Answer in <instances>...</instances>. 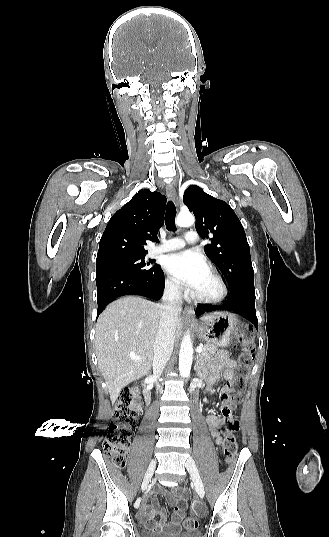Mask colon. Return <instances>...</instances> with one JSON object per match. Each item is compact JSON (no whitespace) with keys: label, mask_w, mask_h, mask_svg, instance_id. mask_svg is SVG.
Instances as JSON below:
<instances>
[{"label":"colon","mask_w":329,"mask_h":537,"mask_svg":"<svg viewBox=\"0 0 329 537\" xmlns=\"http://www.w3.org/2000/svg\"><path fill=\"white\" fill-rule=\"evenodd\" d=\"M239 342L242 344L243 352L239 357L238 372L232 387L228 385L229 389L224 391L222 395V411L226 416V419L222 424V450L227 461H232L238 450L237 439L235 436V432L238 429V423L231 417V409L240 401L241 394L247 386V379L254 351L252 330L248 329L240 333ZM137 398L138 393L135 390H125L121 392L115 403L114 416L104 440V454L119 467L125 465L132 430L136 425L135 407ZM184 525L189 530L194 529L198 526V520L195 517H188L185 520Z\"/></svg>","instance_id":"1"}]
</instances>
